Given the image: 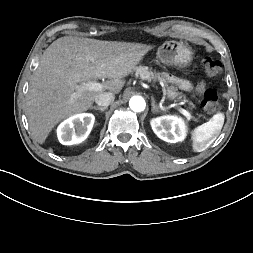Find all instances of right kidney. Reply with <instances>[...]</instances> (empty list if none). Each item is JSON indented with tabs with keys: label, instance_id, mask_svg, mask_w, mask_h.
Here are the masks:
<instances>
[{
	"label": "right kidney",
	"instance_id": "obj_1",
	"mask_svg": "<svg viewBox=\"0 0 253 253\" xmlns=\"http://www.w3.org/2000/svg\"><path fill=\"white\" fill-rule=\"evenodd\" d=\"M95 121V116L90 113L77 114L63 121L58 129L57 135L61 144L73 145L84 141Z\"/></svg>",
	"mask_w": 253,
	"mask_h": 253
}]
</instances>
